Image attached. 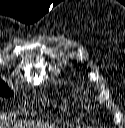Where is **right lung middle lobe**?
<instances>
[{"mask_svg":"<svg viewBox=\"0 0 125 128\" xmlns=\"http://www.w3.org/2000/svg\"><path fill=\"white\" fill-rule=\"evenodd\" d=\"M13 92L9 87L0 79V96H11Z\"/></svg>","mask_w":125,"mask_h":128,"instance_id":"1","label":"right lung middle lobe"}]
</instances>
